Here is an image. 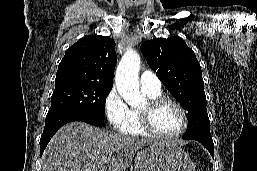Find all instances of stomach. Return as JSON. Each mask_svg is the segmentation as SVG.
Instances as JSON below:
<instances>
[{
    "mask_svg": "<svg viewBox=\"0 0 257 171\" xmlns=\"http://www.w3.org/2000/svg\"><path fill=\"white\" fill-rule=\"evenodd\" d=\"M135 171H195L188 154L174 142H155L137 152Z\"/></svg>",
    "mask_w": 257,
    "mask_h": 171,
    "instance_id": "stomach-1",
    "label": "stomach"
}]
</instances>
